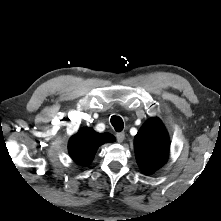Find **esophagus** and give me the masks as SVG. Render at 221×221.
Listing matches in <instances>:
<instances>
[{
  "label": "esophagus",
  "instance_id": "obj_1",
  "mask_svg": "<svg viewBox=\"0 0 221 221\" xmlns=\"http://www.w3.org/2000/svg\"><path fill=\"white\" fill-rule=\"evenodd\" d=\"M116 139L119 143H122L125 139V133H123V132L117 133Z\"/></svg>",
  "mask_w": 221,
  "mask_h": 221
}]
</instances>
